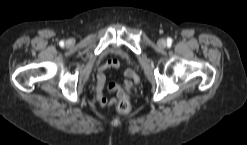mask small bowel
Instances as JSON below:
<instances>
[{
	"label": "small bowel",
	"mask_w": 247,
	"mask_h": 145,
	"mask_svg": "<svg viewBox=\"0 0 247 145\" xmlns=\"http://www.w3.org/2000/svg\"><path fill=\"white\" fill-rule=\"evenodd\" d=\"M121 64L118 60L112 59L107 61L105 64L98 68L96 76V96L101 107H108L112 105L115 100L109 99L104 95L106 86V75L105 70L109 68L119 69ZM124 83L123 85L111 84L109 89L111 92L116 93L119 99H126L128 97L127 93L132 90L133 82L138 80L135 72L132 69H126L123 71Z\"/></svg>",
	"instance_id": "small-bowel-1"
}]
</instances>
